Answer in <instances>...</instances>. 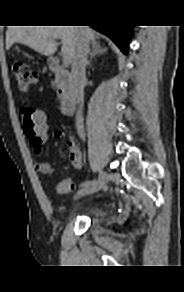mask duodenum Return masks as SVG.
<instances>
[{
	"label": "duodenum",
	"mask_w": 184,
	"mask_h": 292,
	"mask_svg": "<svg viewBox=\"0 0 184 292\" xmlns=\"http://www.w3.org/2000/svg\"><path fill=\"white\" fill-rule=\"evenodd\" d=\"M49 69L56 75L57 93L61 98V109L65 115H72L76 107V93L71 85V74L63 69L56 58L49 60Z\"/></svg>",
	"instance_id": "1"
}]
</instances>
